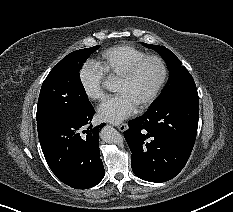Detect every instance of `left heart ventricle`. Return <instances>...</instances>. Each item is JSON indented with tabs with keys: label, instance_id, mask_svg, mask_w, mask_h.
I'll return each instance as SVG.
<instances>
[{
	"label": "left heart ventricle",
	"instance_id": "b2bd125f",
	"mask_svg": "<svg viewBox=\"0 0 233 212\" xmlns=\"http://www.w3.org/2000/svg\"><path fill=\"white\" fill-rule=\"evenodd\" d=\"M161 76V67L156 60L141 65L134 77L128 81L118 80L116 92L127 94L139 106L152 93Z\"/></svg>",
	"mask_w": 233,
	"mask_h": 212
}]
</instances>
